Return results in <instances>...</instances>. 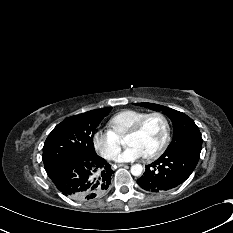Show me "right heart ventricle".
<instances>
[{
    "label": "right heart ventricle",
    "mask_w": 233,
    "mask_h": 233,
    "mask_svg": "<svg viewBox=\"0 0 233 233\" xmlns=\"http://www.w3.org/2000/svg\"><path fill=\"white\" fill-rule=\"evenodd\" d=\"M147 113L136 109H126L113 115L109 120L111 131L117 136H123L140 118Z\"/></svg>",
    "instance_id": "obj_1"
}]
</instances>
